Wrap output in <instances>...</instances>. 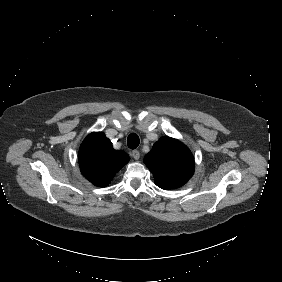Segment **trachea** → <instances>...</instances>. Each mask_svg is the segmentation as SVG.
Returning a JSON list of instances; mask_svg holds the SVG:
<instances>
[{"label": "trachea", "instance_id": "obj_1", "mask_svg": "<svg viewBox=\"0 0 282 282\" xmlns=\"http://www.w3.org/2000/svg\"><path fill=\"white\" fill-rule=\"evenodd\" d=\"M139 136L135 133H131L127 138L128 147L131 149H136L139 146Z\"/></svg>", "mask_w": 282, "mask_h": 282}]
</instances>
